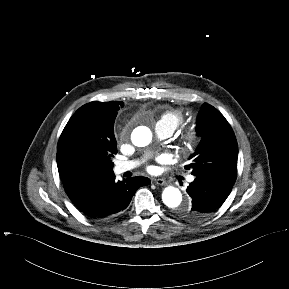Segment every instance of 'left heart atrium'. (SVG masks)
I'll return each instance as SVG.
<instances>
[{
    "instance_id": "1",
    "label": "left heart atrium",
    "mask_w": 289,
    "mask_h": 289,
    "mask_svg": "<svg viewBox=\"0 0 289 289\" xmlns=\"http://www.w3.org/2000/svg\"><path fill=\"white\" fill-rule=\"evenodd\" d=\"M156 160H157L158 162H166V161L168 160V156L165 155V154H160V155H158V156L156 157ZM148 169H149L150 171H154V170H155V166L150 165V166H148Z\"/></svg>"
}]
</instances>
